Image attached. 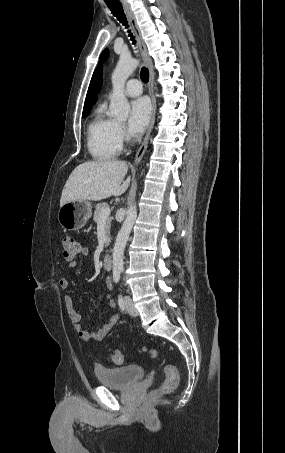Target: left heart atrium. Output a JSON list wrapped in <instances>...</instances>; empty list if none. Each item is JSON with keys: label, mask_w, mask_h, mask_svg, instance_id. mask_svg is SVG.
Listing matches in <instances>:
<instances>
[{"label": "left heart atrium", "mask_w": 285, "mask_h": 453, "mask_svg": "<svg viewBox=\"0 0 285 453\" xmlns=\"http://www.w3.org/2000/svg\"><path fill=\"white\" fill-rule=\"evenodd\" d=\"M151 115V106L147 98L140 97L130 104L128 119L129 130L134 135L141 134L147 127Z\"/></svg>", "instance_id": "39dd6f15"}]
</instances>
